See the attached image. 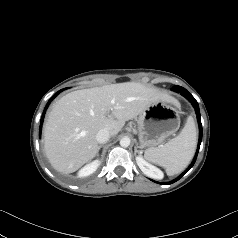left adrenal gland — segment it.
<instances>
[{"mask_svg":"<svg viewBox=\"0 0 238 238\" xmlns=\"http://www.w3.org/2000/svg\"><path fill=\"white\" fill-rule=\"evenodd\" d=\"M137 148H138V146L135 147V154L139 153L141 155L142 152L140 150H138Z\"/></svg>","mask_w":238,"mask_h":238,"instance_id":"1","label":"left adrenal gland"}]
</instances>
